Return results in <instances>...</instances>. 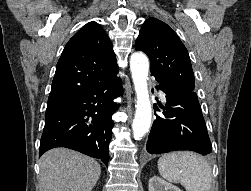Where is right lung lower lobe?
Wrapping results in <instances>:
<instances>
[{"mask_svg":"<svg viewBox=\"0 0 251 191\" xmlns=\"http://www.w3.org/2000/svg\"><path fill=\"white\" fill-rule=\"evenodd\" d=\"M122 94L121 80L113 78L63 104L47 108L40 141L41 156L55 147H66L109 161V141L118 109L113 99Z\"/></svg>","mask_w":251,"mask_h":191,"instance_id":"obj_1","label":"right lung lower lobe"}]
</instances>
